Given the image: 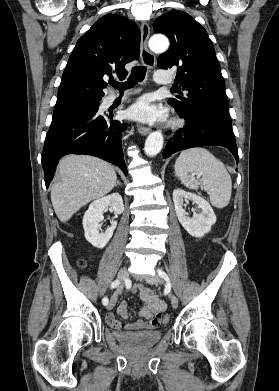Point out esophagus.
I'll list each match as a JSON object with an SVG mask.
<instances>
[{
  "mask_svg": "<svg viewBox=\"0 0 279 391\" xmlns=\"http://www.w3.org/2000/svg\"><path fill=\"white\" fill-rule=\"evenodd\" d=\"M149 35V25L146 22H143L141 25V60L145 66L153 68L156 64V58L148 49ZM137 130L141 135H147L150 132V128L143 125H138Z\"/></svg>",
  "mask_w": 279,
  "mask_h": 391,
  "instance_id": "34e87169",
  "label": "esophagus"
}]
</instances>
